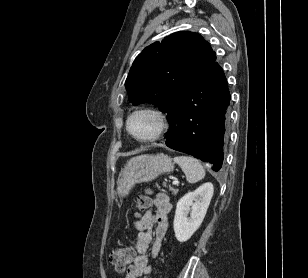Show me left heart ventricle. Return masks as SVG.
Masks as SVG:
<instances>
[{
  "label": "left heart ventricle",
  "instance_id": "1",
  "mask_svg": "<svg viewBox=\"0 0 308 278\" xmlns=\"http://www.w3.org/2000/svg\"><path fill=\"white\" fill-rule=\"evenodd\" d=\"M156 118L149 113H140L134 116L130 123L132 132L140 138L151 136L157 129Z\"/></svg>",
  "mask_w": 308,
  "mask_h": 278
}]
</instances>
